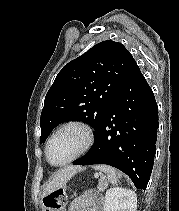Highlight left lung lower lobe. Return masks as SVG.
<instances>
[{
	"label": "left lung lower lobe",
	"instance_id": "0a47b994",
	"mask_svg": "<svg viewBox=\"0 0 179 211\" xmlns=\"http://www.w3.org/2000/svg\"><path fill=\"white\" fill-rule=\"evenodd\" d=\"M154 94L133 60L104 114L95 143L74 165L107 164L145 190L152 172L158 130Z\"/></svg>",
	"mask_w": 179,
	"mask_h": 211
}]
</instances>
